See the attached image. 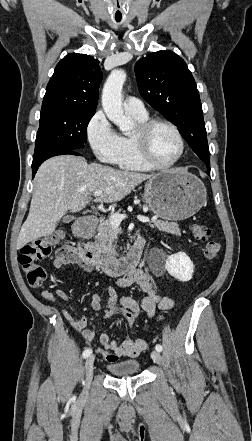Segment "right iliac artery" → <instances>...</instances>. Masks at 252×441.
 <instances>
[{
    "instance_id": "1",
    "label": "right iliac artery",
    "mask_w": 252,
    "mask_h": 441,
    "mask_svg": "<svg viewBox=\"0 0 252 441\" xmlns=\"http://www.w3.org/2000/svg\"><path fill=\"white\" fill-rule=\"evenodd\" d=\"M92 354V350L91 349H86L84 352H83V358H86V357H88V356H90Z\"/></svg>"
}]
</instances>
